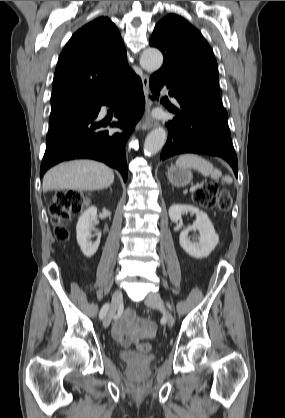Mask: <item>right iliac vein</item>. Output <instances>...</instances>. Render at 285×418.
<instances>
[{
  "instance_id": "63e3f726",
  "label": "right iliac vein",
  "mask_w": 285,
  "mask_h": 418,
  "mask_svg": "<svg viewBox=\"0 0 285 418\" xmlns=\"http://www.w3.org/2000/svg\"><path fill=\"white\" fill-rule=\"evenodd\" d=\"M122 302V291L121 290H116L114 291L113 295H112V300H111V306L103 320V326L104 328H108L114 315L115 312L117 310V308L119 307V305Z\"/></svg>"
}]
</instances>
